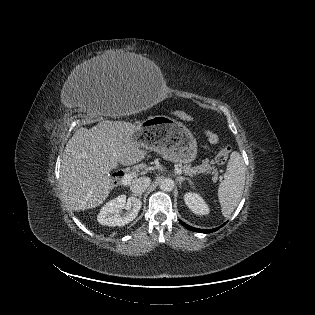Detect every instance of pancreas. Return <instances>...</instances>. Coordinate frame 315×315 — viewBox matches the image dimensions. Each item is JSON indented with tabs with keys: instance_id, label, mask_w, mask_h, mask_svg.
I'll use <instances>...</instances> for the list:
<instances>
[{
	"instance_id": "1",
	"label": "pancreas",
	"mask_w": 315,
	"mask_h": 315,
	"mask_svg": "<svg viewBox=\"0 0 315 315\" xmlns=\"http://www.w3.org/2000/svg\"><path fill=\"white\" fill-rule=\"evenodd\" d=\"M212 164H214L213 161L206 159L198 166H191V164L182 165L181 163L177 164L176 166L186 175L194 176L200 173H211L213 175V180H216L218 172L217 169L212 166Z\"/></svg>"
}]
</instances>
